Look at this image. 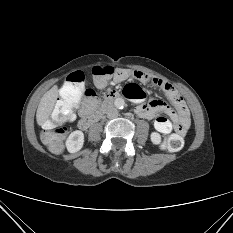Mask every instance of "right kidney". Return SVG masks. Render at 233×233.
Instances as JSON below:
<instances>
[{"instance_id":"1","label":"right kidney","mask_w":233,"mask_h":233,"mask_svg":"<svg viewBox=\"0 0 233 233\" xmlns=\"http://www.w3.org/2000/svg\"><path fill=\"white\" fill-rule=\"evenodd\" d=\"M84 144V134L82 131H73L66 141L67 150L70 153L78 152Z\"/></svg>"}]
</instances>
